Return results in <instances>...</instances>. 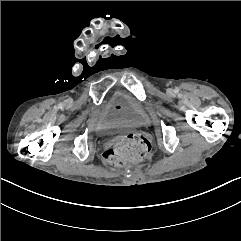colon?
Masks as SVG:
<instances>
[{"mask_svg": "<svg viewBox=\"0 0 241 241\" xmlns=\"http://www.w3.org/2000/svg\"><path fill=\"white\" fill-rule=\"evenodd\" d=\"M152 150L149 140L141 134H128L116 144L105 149L101 159L105 164L123 166L147 158Z\"/></svg>", "mask_w": 241, "mask_h": 241, "instance_id": "5ec220e1", "label": "colon"}]
</instances>
